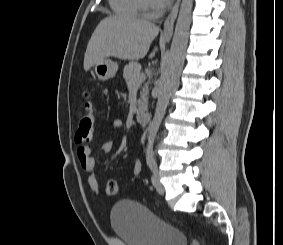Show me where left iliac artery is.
I'll return each mask as SVG.
<instances>
[{
  "mask_svg": "<svg viewBox=\"0 0 283 245\" xmlns=\"http://www.w3.org/2000/svg\"><path fill=\"white\" fill-rule=\"evenodd\" d=\"M146 162L147 165L149 166V168L153 171L155 169H157V163L156 160L154 158V152L152 149H148L147 150V154H146Z\"/></svg>",
  "mask_w": 283,
  "mask_h": 245,
  "instance_id": "1",
  "label": "left iliac artery"
}]
</instances>
